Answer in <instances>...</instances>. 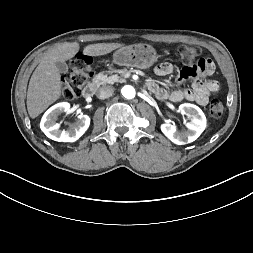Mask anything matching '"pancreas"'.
I'll return each instance as SVG.
<instances>
[{
	"label": "pancreas",
	"mask_w": 253,
	"mask_h": 253,
	"mask_svg": "<svg viewBox=\"0 0 253 253\" xmlns=\"http://www.w3.org/2000/svg\"><path fill=\"white\" fill-rule=\"evenodd\" d=\"M119 81H122V79L114 75L108 76L107 74L103 72L97 74L94 78V83L97 85L106 84V83L113 84L114 82H119Z\"/></svg>",
	"instance_id": "1"
}]
</instances>
